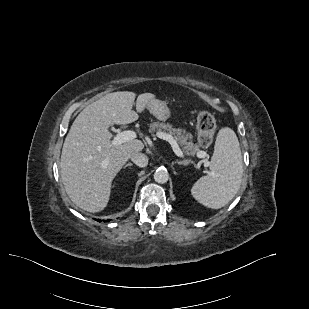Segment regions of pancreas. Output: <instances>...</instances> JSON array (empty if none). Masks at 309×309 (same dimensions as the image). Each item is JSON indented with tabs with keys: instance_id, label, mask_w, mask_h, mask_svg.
I'll return each mask as SVG.
<instances>
[{
	"instance_id": "pancreas-1",
	"label": "pancreas",
	"mask_w": 309,
	"mask_h": 309,
	"mask_svg": "<svg viewBox=\"0 0 309 309\" xmlns=\"http://www.w3.org/2000/svg\"><path fill=\"white\" fill-rule=\"evenodd\" d=\"M149 132H166L170 134L182 147L184 154L189 156L197 155L201 150L198 144L192 142V134L181 128H173L169 123L154 122L150 124Z\"/></svg>"
}]
</instances>
